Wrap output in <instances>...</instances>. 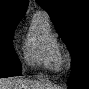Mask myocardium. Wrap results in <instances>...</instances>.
Returning <instances> with one entry per match:
<instances>
[{
    "label": "myocardium",
    "mask_w": 89,
    "mask_h": 89,
    "mask_svg": "<svg viewBox=\"0 0 89 89\" xmlns=\"http://www.w3.org/2000/svg\"><path fill=\"white\" fill-rule=\"evenodd\" d=\"M65 59H66L67 61H70V56H69L68 53L65 54Z\"/></svg>",
    "instance_id": "f54148a6"
}]
</instances>
